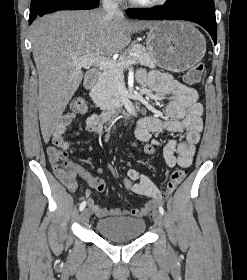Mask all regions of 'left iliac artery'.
<instances>
[{"label":"left iliac artery","mask_w":247,"mask_h":280,"mask_svg":"<svg viewBox=\"0 0 247 280\" xmlns=\"http://www.w3.org/2000/svg\"><path fill=\"white\" fill-rule=\"evenodd\" d=\"M159 212H160L162 215H164V209H163L162 206H159Z\"/></svg>","instance_id":"44dca946"}]
</instances>
